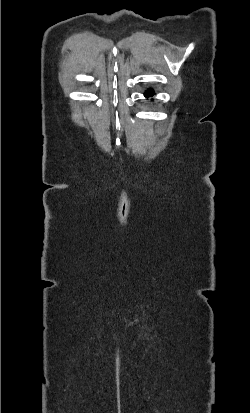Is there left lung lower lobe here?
<instances>
[{
    "label": "left lung lower lobe",
    "mask_w": 250,
    "mask_h": 413,
    "mask_svg": "<svg viewBox=\"0 0 250 413\" xmlns=\"http://www.w3.org/2000/svg\"><path fill=\"white\" fill-rule=\"evenodd\" d=\"M154 94V92L152 90H149L145 93V96H152Z\"/></svg>",
    "instance_id": "left-lung-lower-lobe-1"
}]
</instances>
